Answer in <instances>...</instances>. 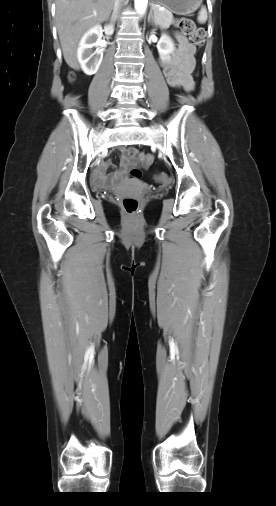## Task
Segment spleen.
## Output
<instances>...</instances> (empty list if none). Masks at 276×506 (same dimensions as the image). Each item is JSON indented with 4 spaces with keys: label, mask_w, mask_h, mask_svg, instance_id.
<instances>
[{
    "label": "spleen",
    "mask_w": 276,
    "mask_h": 506,
    "mask_svg": "<svg viewBox=\"0 0 276 506\" xmlns=\"http://www.w3.org/2000/svg\"><path fill=\"white\" fill-rule=\"evenodd\" d=\"M197 20L201 24H204L207 21V10L205 7L201 8Z\"/></svg>",
    "instance_id": "3e777b00"
}]
</instances>
